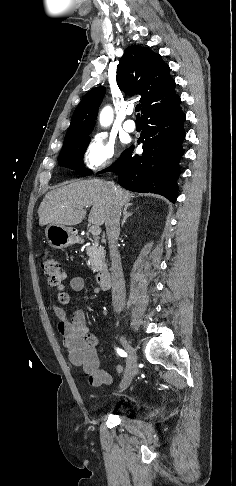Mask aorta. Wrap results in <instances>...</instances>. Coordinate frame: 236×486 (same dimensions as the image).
Segmentation results:
<instances>
[{"label":"aorta","mask_w":236,"mask_h":486,"mask_svg":"<svg viewBox=\"0 0 236 486\" xmlns=\"http://www.w3.org/2000/svg\"><path fill=\"white\" fill-rule=\"evenodd\" d=\"M112 119V112L109 108L102 110L100 114V122L102 125H108Z\"/></svg>","instance_id":"aorta-1"}]
</instances>
